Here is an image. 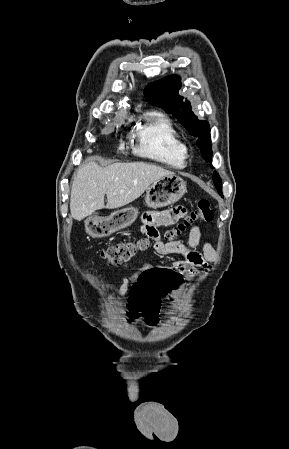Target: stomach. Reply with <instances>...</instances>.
Masks as SVG:
<instances>
[{
	"mask_svg": "<svg viewBox=\"0 0 289 449\" xmlns=\"http://www.w3.org/2000/svg\"><path fill=\"white\" fill-rule=\"evenodd\" d=\"M187 192L186 182L170 175L153 182L147 189L145 202L149 208H162L176 203ZM138 217V209L126 207L108 217L92 216L85 221L86 232L93 238H104L130 226Z\"/></svg>",
	"mask_w": 289,
	"mask_h": 449,
	"instance_id": "1",
	"label": "stomach"
}]
</instances>
